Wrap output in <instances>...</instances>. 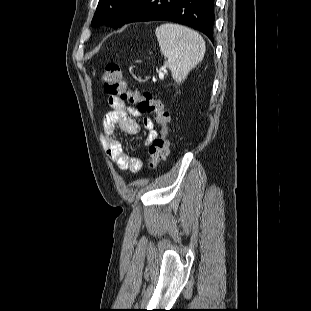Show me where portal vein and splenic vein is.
Segmentation results:
<instances>
[{
  "label": "portal vein and splenic vein",
  "instance_id": "obj_1",
  "mask_svg": "<svg viewBox=\"0 0 311 311\" xmlns=\"http://www.w3.org/2000/svg\"><path fill=\"white\" fill-rule=\"evenodd\" d=\"M159 77H160V78H163V73H162L161 70L159 71Z\"/></svg>",
  "mask_w": 311,
  "mask_h": 311
}]
</instances>
